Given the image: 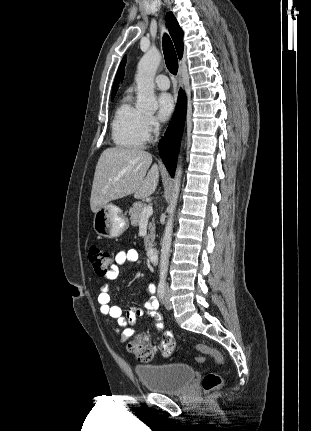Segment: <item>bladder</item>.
<instances>
[{"mask_svg": "<svg viewBox=\"0 0 311 431\" xmlns=\"http://www.w3.org/2000/svg\"><path fill=\"white\" fill-rule=\"evenodd\" d=\"M134 371L147 389L163 394L184 391L195 376L194 369L185 363L138 364Z\"/></svg>", "mask_w": 311, "mask_h": 431, "instance_id": "bladder-1", "label": "bladder"}]
</instances>
